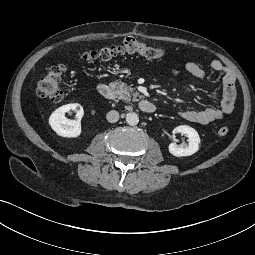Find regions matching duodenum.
<instances>
[{"label":"duodenum","mask_w":255,"mask_h":255,"mask_svg":"<svg viewBox=\"0 0 255 255\" xmlns=\"http://www.w3.org/2000/svg\"><path fill=\"white\" fill-rule=\"evenodd\" d=\"M97 89H98L99 94L103 98L108 99V100L113 99L114 91L112 90V88L108 84L99 83ZM138 107L144 113H152L156 109L155 104L153 102L149 101V100H141L138 103Z\"/></svg>","instance_id":"1"}]
</instances>
